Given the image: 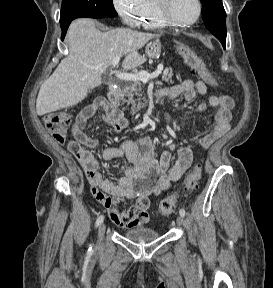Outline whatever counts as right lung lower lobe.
I'll return each mask as SVG.
<instances>
[{"label":"right lung lower lobe","instance_id":"obj_1","mask_svg":"<svg viewBox=\"0 0 273 288\" xmlns=\"http://www.w3.org/2000/svg\"><path fill=\"white\" fill-rule=\"evenodd\" d=\"M70 23L67 24V25H64V26H61V30H62V36H61V39L63 40L65 35H66V32H67V29L69 27Z\"/></svg>","mask_w":273,"mask_h":288}]
</instances>
